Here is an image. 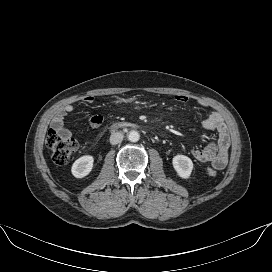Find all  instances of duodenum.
<instances>
[{"label":"duodenum","instance_id":"1","mask_svg":"<svg viewBox=\"0 0 272 272\" xmlns=\"http://www.w3.org/2000/svg\"><path fill=\"white\" fill-rule=\"evenodd\" d=\"M129 126H131V125L125 124V123H116V124L112 125V129H118V128L129 127Z\"/></svg>","mask_w":272,"mask_h":272}]
</instances>
